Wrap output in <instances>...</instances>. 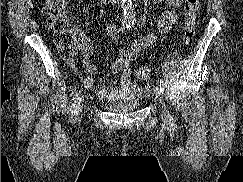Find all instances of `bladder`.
Listing matches in <instances>:
<instances>
[{
  "label": "bladder",
  "instance_id": "1",
  "mask_svg": "<svg viewBox=\"0 0 243 182\" xmlns=\"http://www.w3.org/2000/svg\"><path fill=\"white\" fill-rule=\"evenodd\" d=\"M140 106V100L135 96H129L113 103L104 104V109L114 114H126L136 111Z\"/></svg>",
  "mask_w": 243,
  "mask_h": 182
}]
</instances>
